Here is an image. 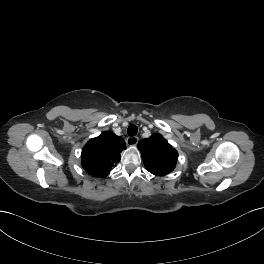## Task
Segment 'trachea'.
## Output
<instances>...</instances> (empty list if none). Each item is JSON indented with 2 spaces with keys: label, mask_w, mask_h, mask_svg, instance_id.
I'll use <instances>...</instances> for the list:
<instances>
[{
  "label": "trachea",
  "mask_w": 264,
  "mask_h": 264,
  "mask_svg": "<svg viewBox=\"0 0 264 264\" xmlns=\"http://www.w3.org/2000/svg\"><path fill=\"white\" fill-rule=\"evenodd\" d=\"M138 132V127L136 125H130L127 129V134L129 136H135Z\"/></svg>",
  "instance_id": "trachea-1"
}]
</instances>
